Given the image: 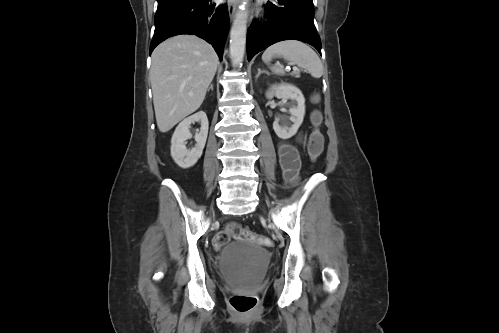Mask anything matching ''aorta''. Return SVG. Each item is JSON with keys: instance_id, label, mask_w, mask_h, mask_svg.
<instances>
[{"instance_id": "1", "label": "aorta", "mask_w": 499, "mask_h": 333, "mask_svg": "<svg viewBox=\"0 0 499 333\" xmlns=\"http://www.w3.org/2000/svg\"><path fill=\"white\" fill-rule=\"evenodd\" d=\"M246 4V3H244ZM247 8L240 9L233 21L230 32V56L233 66L241 64L245 54L246 34H247Z\"/></svg>"}]
</instances>
